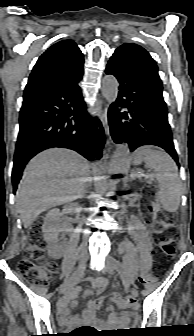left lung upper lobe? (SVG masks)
<instances>
[{
  "instance_id": "5c2ea615",
  "label": "left lung upper lobe",
  "mask_w": 194,
  "mask_h": 336,
  "mask_svg": "<svg viewBox=\"0 0 194 336\" xmlns=\"http://www.w3.org/2000/svg\"><path fill=\"white\" fill-rule=\"evenodd\" d=\"M118 49L130 52L138 61L142 69L153 79V81L162 89V82L158 75V69L155 61L149 53L139 45L136 44H123ZM117 49V50H118Z\"/></svg>"
}]
</instances>
